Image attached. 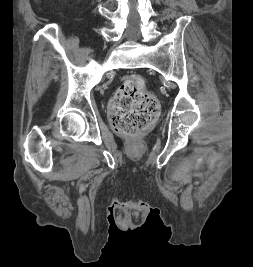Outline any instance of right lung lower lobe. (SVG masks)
Masks as SVG:
<instances>
[{
  "label": "right lung lower lobe",
  "instance_id": "right-lung-lower-lobe-1",
  "mask_svg": "<svg viewBox=\"0 0 253 267\" xmlns=\"http://www.w3.org/2000/svg\"><path fill=\"white\" fill-rule=\"evenodd\" d=\"M150 216H152V217H159V210H152L150 212Z\"/></svg>",
  "mask_w": 253,
  "mask_h": 267
}]
</instances>
